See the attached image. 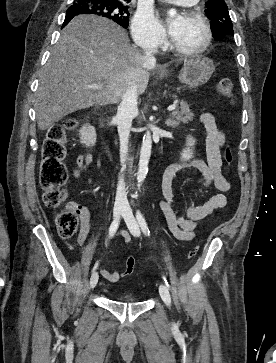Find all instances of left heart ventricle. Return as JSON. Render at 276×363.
<instances>
[{
    "mask_svg": "<svg viewBox=\"0 0 276 363\" xmlns=\"http://www.w3.org/2000/svg\"><path fill=\"white\" fill-rule=\"evenodd\" d=\"M179 19V27L173 36L175 43L184 49L200 47L205 40V31L201 22L187 16L176 17Z\"/></svg>",
    "mask_w": 276,
    "mask_h": 363,
    "instance_id": "obj_1",
    "label": "left heart ventricle"
}]
</instances>
